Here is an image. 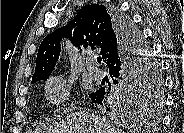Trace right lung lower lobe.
I'll use <instances>...</instances> for the list:
<instances>
[{"instance_id":"obj_1","label":"right lung lower lobe","mask_w":184,"mask_h":133,"mask_svg":"<svg viewBox=\"0 0 184 133\" xmlns=\"http://www.w3.org/2000/svg\"><path fill=\"white\" fill-rule=\"evenodd\" d=\"M111 14L115 29L120 37L121 47L116 56L107 65L110 76L117 78V80H113V83L117 84L118 87L115 96L121 97L125 95L130 81L134 77L137 78L142 71V62L138 60L140 55L138 51L142 50L143 47L136 41L135 37H132L131 27L128 25L125 16L118 10H112ZM108 94L109 92L106 93L103 88H100L95 93L89 94V97L92 102L103 105L107 101Z\"/></svg>"}]
</instances>
